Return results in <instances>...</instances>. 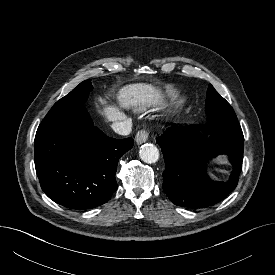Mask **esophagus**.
Masks as SVG:
<instances>
[{
	"instance_id": "esophagus-1",
	"label": "esophagus",
	"mask_w": 275,
	"mask_h": 275,
	"mask_svg": "<svg viewBox=\"0 0 275 275\" xmlns=\"http://www.w3.org/2000/svg\"><path fill=\"white\" fill-rule=\"evenodd\" d=\"M148 140V133L146 130L142 129L136 133L135 141L138 145L145 143Z\"/></svg>"
}]
</instances>
